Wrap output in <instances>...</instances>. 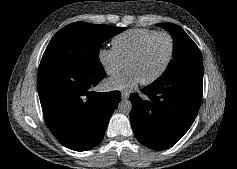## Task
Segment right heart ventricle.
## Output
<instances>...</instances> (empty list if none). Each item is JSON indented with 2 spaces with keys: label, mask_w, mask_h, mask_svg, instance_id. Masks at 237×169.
Returning <instances> with one entry per match:
<instances>
[{
  "label": "right heart ventricle",
  "mask_w": 237,
  "mask_h": 169,
  "mask_svg": "<svg viewBox=\"0 0 237 169\" xmlns=\"http://www.w3.org/2000/svg\"><path fill=\"white\" fill-rule=\"evenodd\" d=\"M151 29H130L116 35L112 40L113 49L121 59H127L138 49V47L151 35L155 34Z\"/></svg>",
  "instance_id": "obj_1"
}]
</instances>
